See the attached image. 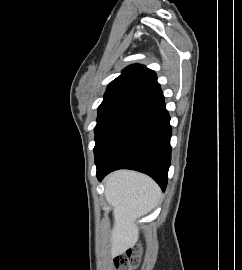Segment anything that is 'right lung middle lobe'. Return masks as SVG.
Returning a JSON list of instances; mask_svg holds the SVG:
<instances>
[{
	"label": "right lung middle lobe",
	"mask_w": 242,
	"mask_h": 270,
	"mask_svg": "<svg viewBox=\"0 0 242 270\" xmlns=\"http://www.w3.org/2000/svg\"><path fill=\"white\" fill-rule=\"evenodd\" d=\"M137 106L130 104H112L98 108L97 124L95 126V160L107 147L121 125Z\"/></svg>",
	"instance_id": "dd1d6c3e"
}]
</instances>
